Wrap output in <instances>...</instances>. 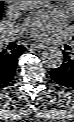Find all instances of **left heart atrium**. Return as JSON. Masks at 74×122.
<instances>
[{
  "mask_svg": "<svg viewBox=\"0 0 74 122\" xmlns=\"http://www.w3.org/2000/svg\"><path fill=\"white\" fill-rule=\"evenodd\" d=\"M65 22L64 16L59 12L39 13L27 20V29L30 34L39 39L48 38L57 32Z\"/></svg>",
  "mask_w": 74,
  "mask_h": 122,
  "instance_id": "39dd6f15",
  "label": "left heart atrium"
}]
</instances>
